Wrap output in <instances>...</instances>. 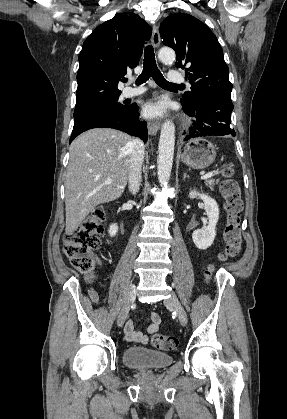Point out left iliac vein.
<instances>
[{"instance_id":"left-iliac-vein-1","label":"left iliac vein","mask_w":287,"mask_h":419,"mask_svg":"<svg viewBox=\"0 0 287 419\" xmlns=\"http://www.w3.org/2000/svg\"><path fill=\"white\" fill-rule=\"evenodd\" d=\"M164 304L176 312L181 325L185 326L187 324L186 312L174 293H172L171 296L164 301Z\"/></svg>"}]
</instances>
